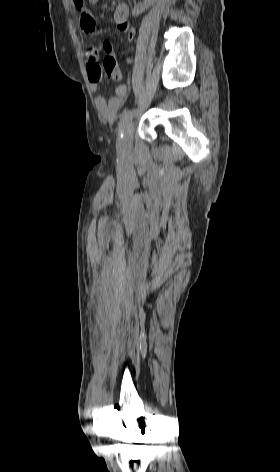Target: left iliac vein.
Here are the masks:
<instances>
[{"label": "left iliac vein", "instance_id": "obj_1", "mask_svg": "<svg viewBox=\"0 0 280 472\" xmlns=\"http://www.w3.org/2000/svg\"><path fill=\"white\" fill-rule=\"evenodd\" d=\"M133 135H134V124L133 122L127 123L123 131V136L120 138L118 146L123 153H129L133 146Z\"/></svg>", "mask_w": 280, "mask_h": 472}]
</instances>
